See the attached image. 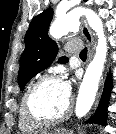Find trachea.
I'll return each mask as SVG.
<instances>
[{
  "label": "trachea",
  "instance_id": "trachea-1",
  "mask_svg": "<svg viewBox=\"0 0 116 134\" xmlns=\"http://www.w3.org/2000/svg\"><path fill=\"white\" fill-rule=\"evenodd\" d=\"M80 57L86 58L87 57V48H84L81 52H80Z\"/></svg>",
  "mask_w": 116,
  "mask_h": 134
}]
</instances>
